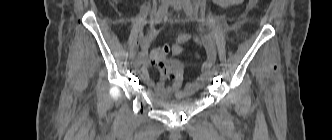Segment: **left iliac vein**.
Masks as SVG:
<instances>
[{
	"instance_id": "1",
	"label": "left iliac vein",
	"mask_w": 332,
	"mask_h": 140,
	"mask_svg": "<svg viewBox=\"0 0 332 140\" xmlns=\"http://www.w3.org/2000/svg\"><path fill=\"white\" fill-rule=\"evenodd\" d=\"M183 0H170L171 6L176 10L180 11L183 7ZM218 70L216 68L213 69V74L216 75Z\"/></svg>"
}]
</instances>
